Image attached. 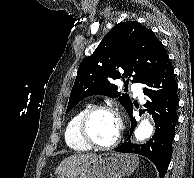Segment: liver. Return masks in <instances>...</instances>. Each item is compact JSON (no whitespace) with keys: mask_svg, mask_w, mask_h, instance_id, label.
Returning a JSON list of instances; mask_svg holds the SVG:
<instances>
[{"mask_svg":"<svg viewBox=\"0 0 194 178\" xmlns=\"http://www.w3.org/2000/svg\"><path fill=\"white\" fill-rule=\"evenodd\" d=\"M96 157V154L93 153H87V154H74L67 158H65L60 165L57 167L55 173L61 174L64 171L71 169L73 167H76L78 165H81L91 159H94Z\"/></svg>","mask_w":194,"mask_h":178,"instance_id":"liver-1","label":"liver"}]
</instances>
